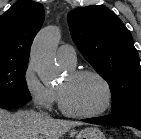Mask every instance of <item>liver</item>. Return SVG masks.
I'll return each instance as SVG.
<instances>
[{
	"label": "liver",
	"mask_w": 141,
	"mask_h": 139,
	"mask_svg": "<svg viewBox=\"0 0 141 139\" xmlns=\"http://www.w3.org/2000/svg\"><path fill=\"white\" fill-rule=\"evenodd\" d=\"M80 122L43 117L35 111L0 109V139H59Z\"/></svg>",
	"instance_id": "liver-1"
}]
</instances>
